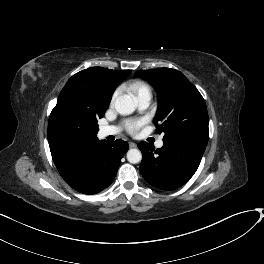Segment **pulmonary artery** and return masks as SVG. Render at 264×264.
Here are the masks:
<instances>
[{
	"mask_svg": "<svg viewBox=\"0 0 264 264\" xmlns=\"http://www.w3.org/2000/svg\"><path fill=\"white\" fill-rule=\"evenodd\" d=\"M138 107L140 110H145L149 107L151 102L150 94H142L137 97ZM119 132V128L117 126H105L100 129V133L102 136H110L115 135ZM156 146L161 148L163 146V140L160 138L156 141Z\"/></svg>",
	"mask_w": 264,
	"mask_h": 264,
	"instance_id": "1",
	"label": "pulmonary artery"
}]
</instances>
